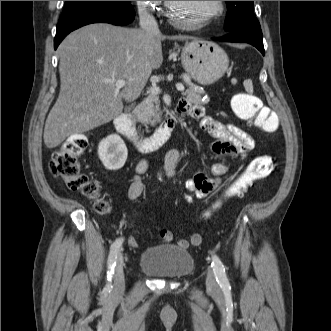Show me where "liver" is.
<instances>
[{
  "mask_svg": "<svg viewBox=\"0 0 331 331\" xmlns=\"http://www.w3.org/2000/svg\"><path fill=\"white\" fill-rule=\"evenodd\" d=\"M175 40L189 36L168 37ZM143 29L91 24L70 33L59 45L60 93L44 128L52 149L67 137L89 131L121 114L123 100H135L153 69L163 62L161 41ZM124 80L123 89L115 86Z\"/></svg>",
  "mask_w": 331,
  "mask_h": 331,
  "instance_id": "liver-1",
  "label": "liver"
}]
</instances>
